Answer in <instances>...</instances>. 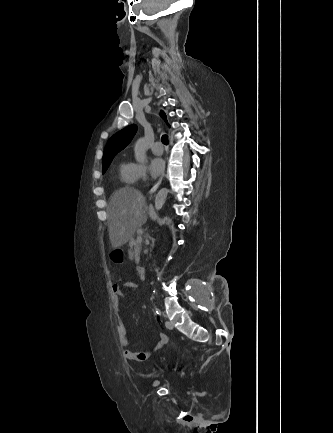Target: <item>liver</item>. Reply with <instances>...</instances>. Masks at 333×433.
Segmentation results:
<instances>
[{"label": "liver", "instance_id": "1", "mask_svg": "<svg viewBox=\"0 0 333 433\" xmlns=\"http://www.w3.org/2000/svg\"><path fill=\"white\" fill-rule=\"evenodd\" d=\"M143 194L130 186L115 191L107 206L108 231L111 245L118 248L126 244L130 237L147 221L143 209Z\"/></svg>", "mask_w": 333, "mask_h": 433}]
</instances>
